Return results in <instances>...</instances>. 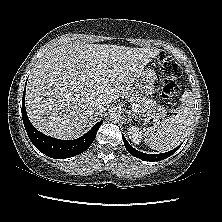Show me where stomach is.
I'll use <instances>...</instances> for the list:
<instances>
[{
  "label": "stomach",
  "mask_w": 222,
  "mask_h": 222,
  "mask_svg": "<svg viewBox=\"0 0 222 222\" xmlns=\"http://www.w3.org/2000/svg\"><path fill=\"white\" fill-rule=\"evenodd\" d=\"M156 73L151 69H143L135 80L136 88L144 95L152 94Z\"/></svg>",
  "instance_id": "1"
}]
</instances>
